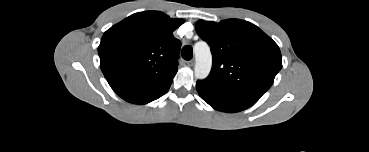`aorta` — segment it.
Returning a JSON list of instances; mask_svg holds the SVG:
<instances>
[{"label":"aorta","instance_id":"1","mask_svg":"<svg viewBox=\"0 0 369 152\" xmlns=\"http://www.w3.org/2000/svg\"><path fill=\"white\" fill-rule=\"evenodd\" d=\"M195 54L194 74L196 79H205L211 70L212 55L208 44L204 41L197 42L193 48Z\"/></svg>","mask_w":369,"mask_h":152}]
</instances>
